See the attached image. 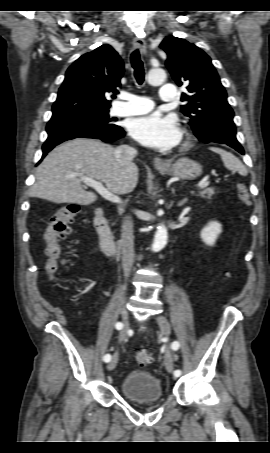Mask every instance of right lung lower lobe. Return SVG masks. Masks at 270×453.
<instances>
[{
  "mask_svg": "<svg viewBox=\"0 0 270 453\" xmlns=\"http://www.w3.org/2000/svg\"><path fill=\"white\" fill-rule=\"evenodd\" d=\"M48 138L43 144V157L56 145L78 137L100 139L113 142L125 135L124 130L117 125L96 126L76 121H50L46 127Z\"/></svg>",
  "mask_w": 270,
  "mask_h": 453,
  "instance_id": "1",
  "label": "right lung lower lobe"
}]
</instances>
